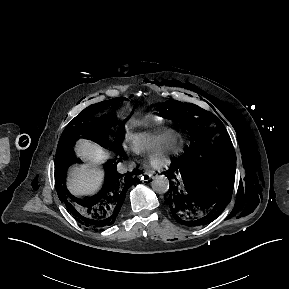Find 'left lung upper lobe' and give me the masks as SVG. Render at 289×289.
Segmentation results:
<instances>
[{
	"label": "left lung upper lobe",
	"mask_w": 289,
	"mask_h": 289,
	"mask_svg": "<svg viewBox=\"0 0 289 289\" xmlns=\"http://www.w3.org/2000/svg\"><path fill=\"white\" fill-rule=\"evenodd\" d=\"M157 110L160 116L185 126L190 134L192 147L211 150L219 169L235 164L236 154L231 139L223 123L214 114L195 104L173 99L158 104Z\"/></svg>",
	"instance_id": "obj_1"
}]
</instances>
